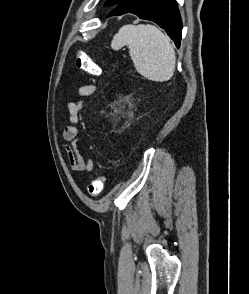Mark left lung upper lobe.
<instances>
[{
	"instance_id": "obj_1",
	"label": "left lung upper lobe",
	"mask_w": 249,
	"mask_h": 294,
	"mask_svg": "<svg viewBox=\"0 0 249 294\" xmlns=\"http://www.w3.org/2000/svg\"><path fill=\"white\" fill-rule=\"evenodd\" d=\"M122 1H124V0H108V1L105 3V5H107V6H111V5H114V4H119V3H121Z\"/></svg>"
}]
</instances>
